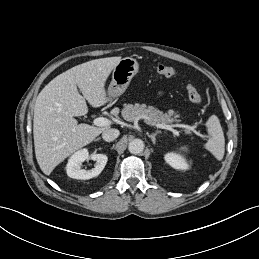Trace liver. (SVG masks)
Listing matches in <instances>:
<instances>
[{
    "instance_id": "obj_1",
    "label": "liver",
    "mask_w": 259,
    "mask_h": 259,
    "mask_svg": "<svg viewBox=\"0 0 259 259\" xmlns=\"http://www.w3.org/2000/svg\"><path fill=\"white\" fill-rule=\"evenodd\" d=\"M120 60L121 57L100 58L72 67L56 76L39 93L34 108L33 135L36 159L44 174L50 175L65 158L110 128L78 124L74 117L87 114L86 100L95 108L109 101L105 82ZM118 112L119 109H113L111 114Z\"/></svg>"
}]
</instances>
